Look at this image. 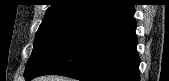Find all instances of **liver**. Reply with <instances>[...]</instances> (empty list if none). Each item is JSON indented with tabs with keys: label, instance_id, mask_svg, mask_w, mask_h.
<instances>
[{
	"label": "liver",
	"instance_id": "1",
	"mask_svg": "<svg viewBox=\"0 0 169 81\" xmlns=\"http://www.w3.org/2000/svg\"><path fill=\"white\" fill-rule=\"evenodd\" d=\"M62 78L58 77H42L40 78V81H61Z\"/></svg>",
	"mask_w": 169,
	"mask_h": 81
}]
</instances>
